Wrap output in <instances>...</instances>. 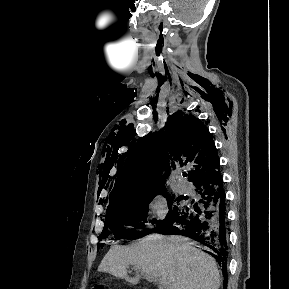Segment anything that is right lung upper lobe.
Listing matches in <instances>:
<instances>
[{
  "label": "right lung upper lobe",
  "instance_id": "cb5924a9",
  "mask_svg": "<svg viewBox=\"0 0 289 289\" xmlns=\"http://www.w3.org/2000/svg\"><path fill=\"white\" fill-rule=\"evenodd\" d=\"M109 197V206L134 195L168 188L167 177L177 165L192 164L191 182L219 170L211 134L195 116L179 111L170 117L164 133L149 134L134 144Z\"/></svg>",
  "mask_w": 289,
  "mask_h": 289
}]
</instances>
